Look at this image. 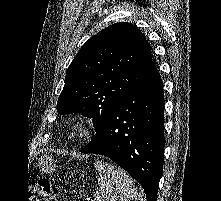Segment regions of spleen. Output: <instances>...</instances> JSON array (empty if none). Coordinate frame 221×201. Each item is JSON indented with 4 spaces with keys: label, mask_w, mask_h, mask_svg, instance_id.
I'll return each mask as SVG.
<instances>
[{
    "label": "spleen",
    "mask_w": 221,
    "mask_h": 201,
    "mask_svg": "<svg viewBox=\"0 0 221 201\" xmlns=\"http://www.w3.org/2000/svg\"><path fill=\"white\" fill-rule=\"evenodd\" d=\"M94 166L100 175L94 201H137V189L125 171L103 161Z\"/></svg>",
    "instance_id": "obj_1"
}]
</instances>
